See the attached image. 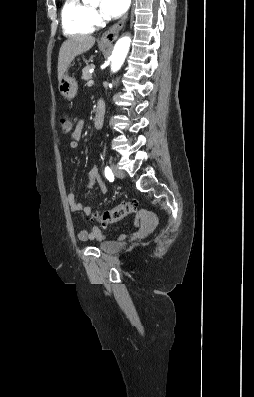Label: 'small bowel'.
Returning <instances> with one entry per match:
<instances>
[{
    "label": "small bowel",
    "mask_w": 254,
    "mask_h": 397,
    "mask_svg": "<svg viewBox=\"0 0 254 397\" xmlns=\"http://www.w3.org/2000/svg\"><path fill=\"white\" fill-rule=\"evenodd\" d=\"M83 127L84 121L79 120L76 123L74 130L72 131L71 141L69 143V148L72 151H76L79 148V140L83 132ZM96 184L99 185L102 194L107 193V187L101 179L98 167L93 166L88 173V183L86 187L87 189H92ZM67 202L72 212H83L86 215H90L95 210V206H86L78 202L73 189H71L67 194ZM138 218L141 224L148 222V216L146 212H140ZM76 236L80 241L100 240L104 238V235L98 227H94L90 231L79 229L76 233Z\"/></svg>",
    "instance_id": "obj_1"
}]
</instances>
